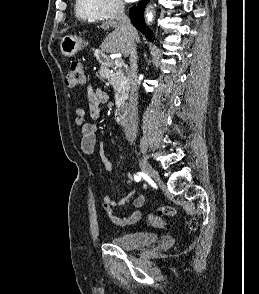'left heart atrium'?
I'll use <instances>...</instances> for the list:
<instances>
[{
  "label": "left heart atrium",
  "instance_id": "obj_1",
  "mask_svg": "<svg viewBox=\"0 0 259 294\" xmlns=\"http://www.w3.org/2000/svg\"><path fill=\"white\" fill-rule=\"evenodd\" d=\"M126 1H128V2H132V1H137V0H126Z\"/></svg>",
  "mask_w": 259,
  "mask_h": 294
}]
</instances>
